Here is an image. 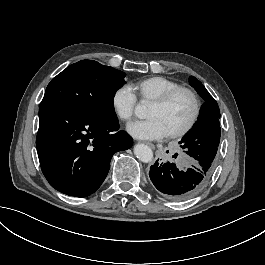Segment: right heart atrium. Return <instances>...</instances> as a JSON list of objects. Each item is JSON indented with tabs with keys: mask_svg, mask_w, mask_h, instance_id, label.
Wrapping results in <instances>:
<instances>
[{
	"mask_svg": "<svg viewBox=\"0 0 265 265\" xmlns=\"http://www.w3.org/2000/svg\"><path fill=\"white\" fill-rule=\"evenodd\" d=\"M110 101L112 114L118 122L126 124L133 121L137 100L128 87L124 85L117 87Z\"/></svg>",
	"mask_w": 265,
	"mask_h": 265,
	"instance_id": "1",
	"label": "right heart atrium"
}]
</instances>
